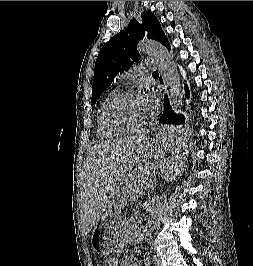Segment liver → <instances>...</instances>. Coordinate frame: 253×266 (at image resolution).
<instances>
[{"label":"liver","mask_w":253,"mask_h":266,"mask_svg":"<svg viewBox=\"0 0 253 266\" xmlns=\"http://www.w3.org/2000/svg\"><path fill=\"white\" fill-rule=\"evenodd\" d=\"M145 136L120 138L89 148L84 162L83 227L88 234L100 220L108 201L110 183L120 164L133 154Z\"/></svg>","instance_id":"6515ba94"}]
</instances>
